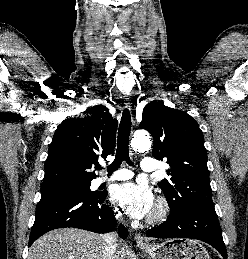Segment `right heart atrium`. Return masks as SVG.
<instances>
[{
	"instance_id": "d8ad5b80",
	"label": "right heart atrium",
	"mask_w": 248,
	"mask_h": 259,
	"mask_svg": "<svg viewBox=\"0 0 248 259\" xmlns=\"http://www.w3.org/2000/svg\"><path fill=\"white\" fill-rule=\"evenodd\" d=\"M116 214H117L118 217L121 216L120 211H117Z\"/></svg>"
}]
</instances>
